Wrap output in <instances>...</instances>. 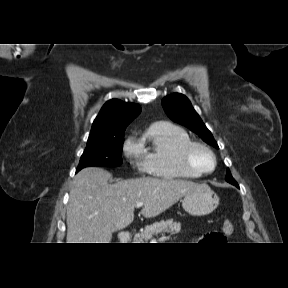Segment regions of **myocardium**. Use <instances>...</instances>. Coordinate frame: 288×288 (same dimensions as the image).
Returning a JSON list of instances; mask_svg holds the SVG:
<instances>
[{"label":"myocardium","instance_id":"1","mask_svg":"<svg viewBox=\"0 0 288 288\" xmlns=\"http://www.w3.org/2000/svg\"><path fill=\"white\" fill-rule=\"evenodd\" d=\"M197 149H202L204 151H206L212 158L213 160V167L210 170H205L202 169L201 167H199L195 161H194V152ZM181 161L183 163V165L199 174V175H209L212 174L218 165V161H217V156L215 154V152L206 144L202 143V142H196V141H190L188 144H186L182 151H181Z\"/></svg>","mask_w":288,"mask_h":288}]
</instances>
